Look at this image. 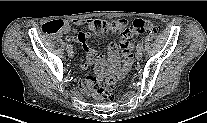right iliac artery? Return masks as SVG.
I'll use <instances>...</instances> for the list:
<instances>
[{
    "instance_id": "82829eb1",
    "label": "right iliac artery",
    "mask_w": 207,
    "mask_h": 123,
    "mask_svg": "<svg viewBox=\"0 0 207 123\" xmlns=\"http://www.w3.org/2000/svg\"><path fill=\"white\" fill-rule=\"evenodd\" d=\"M72 49V46L70 44H67V50Z\"/></svg>"
}]
</instances>
